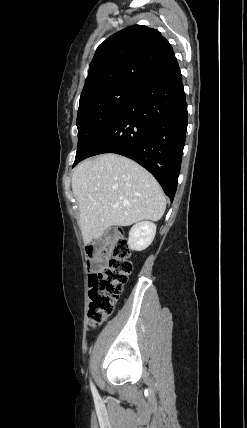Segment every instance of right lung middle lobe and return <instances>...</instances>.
I'll list each match as a JSON object with an SVG mask.
<instances>
[{"label":"right lung middle lobe","mask_w":247,"mask_h":428,"mask_svg":"<svg viewBox=\"0 0 247 428\" xmlns=\"http://www.w3.org/2000/svg\"><path fill=\"white\" fill-rule=\"evenodd\" d=\"M140 90L113 86L81 95L76 125L79 158L102 129L137 95Z\"/></svg>","instance_id":"obj_1"}]
</instances>
